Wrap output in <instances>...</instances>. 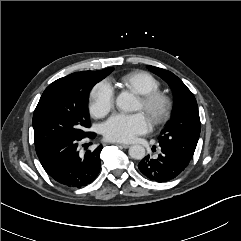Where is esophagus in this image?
Returning a JSON list of instances; mask_svg holds the SVG:
<instances>
[{
  "instance_id": "34e87169",
  "label": "esophagus",
  "mask_w": 241,
  "mask_h": 241,
  "mask_svg": "<svg viewBox=\"0 0 241 241\" xmlns=\"http://www.w3.org/2000/svg\"><path fill=\"white\" fill-rule=\"evenodd\" d=\"M117 145L123 147V148H129L130 145L129 144H122V143H117Z\"/></svg>"
}]
</instances>
